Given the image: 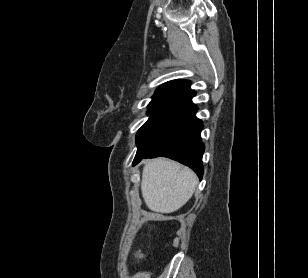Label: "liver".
<instances>
[{
  "label": "liver",
  "mask_w": 308,
  "mask_h": 278,
  "mask_svg": "<svg viewBox=\"0 0 308 278\" xmlns=\"http://www.w3.org/2000/svg\"><path fill=\"white\" fill-rule=\"evenodd\" d=\"M198 179L179 163L156 158L144 161L141 191L147 207L158 213H172L192 197Z\"/></svg>",
  "instance_id": "6515ba94"
}]
</instances>
